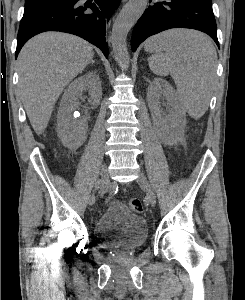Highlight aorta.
I'll list each match as a JSON object with an SVG mask.
<instances>
[{"label":"aorta","instance_id":"762f6f07","mask_svg":"<svg viewBox=\"0 0 245 300\" xmlns=\"http://www.w3.org/2000/svg\"><path fill=\"white\" fill-rule=\"evenodd\" d=\"M148 6V0H129L116 18L111 35L115 59L124 65L128 64L127 35L130 29L142 16Z\"/></svg>","mask_w":245,"mask_h":300}]
</instances>
